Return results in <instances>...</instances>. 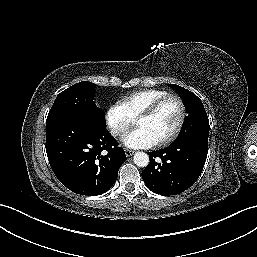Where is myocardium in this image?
<instances>
[{"instance_id":"obj_1","label":"myocardium","mask_w":257,"mask_h":257,"mask_svg":"<svg viewBox=\"0 0 257 257\" xmlns=\"http://www.w3.org/2000/svg\"><path fill=\"white\" fill-rule=\"evenodd\" d=\"M174 99L177 101V103L179 104V108H180V116H179V120L177 122V125L175 127V129L165 138L161 139L160 141L157 142L158 145H166L169 144L171 142H173L180 134L185 119H186V106L185 103L183 101V99L177 95V94H168L160 99H158L157 101H155L153 104H151L146 110H144L139 116L138 119L141 118H148L151 117L153 115H155L157 113V111L169 100Z\"/></svg>"}]
</instances>
